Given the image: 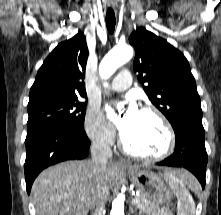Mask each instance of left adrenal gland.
Listing matches in <instances>:
<instances>
[{
	"instance_id": "1",
	"label": "left adrenal gland",
	"mask_w": 221,
	"mask_h": 215,
	"mask_svg": "<svg viewBox=\"0 0 221 215\" xmlns=\"http://www.w3.org/2000/svg\"><path fill=\"white\" fill-rule=\"evenodd\" d=\"M129 211H130V213H133V212H134V210H133L132 207H130Z\"/></svg>"
}]
</instances>
